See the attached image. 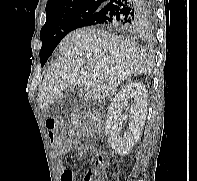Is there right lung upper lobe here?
Here are the masks:
<instances>
[{
    "mask_svg": "<svg viewBox=\"0 0 197 181\" xmlns=\"http://www.w3.org/2000/svg\"><path fill=\"white\" fill-rule=\"evenodd\" d=\"M109 0H49L46 5V15L63 12L72 8L89 4L103 6Z\"/></svg>",
    "mask_w": 197,
    "mask_h": 181,
    "instance_id": "right-lung-upper-lobe-1",
    "label": "right lung upper lobe"
}]
</instances>
